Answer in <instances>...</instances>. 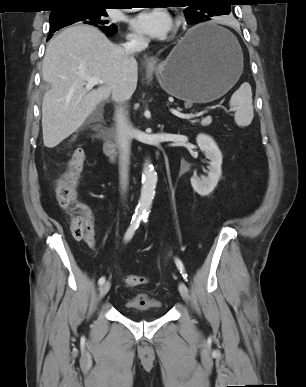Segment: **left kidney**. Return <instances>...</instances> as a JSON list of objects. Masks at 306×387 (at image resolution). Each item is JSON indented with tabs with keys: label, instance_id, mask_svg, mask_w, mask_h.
<instances>
[{
	"label": "left kidney",
	"instance_id": "obj_1",
	"mask_svg": "<svg viewBox=\"0 0 306 387\" xmlns=\"http://www.w3.org/2000/svg\"><path fill=\"white\" fill-rule=\"evenodd\" d=\"M196 142L204 153L205 157L210 161L208 166V176H201L200 178L194 173L191 177V185L199 195L207 196L217 186L219 178L222 174V153L212 137L199 134Z\"/></svg>",
	"mask_w": 306,
	"mask_h": 387
}]
</instances>
